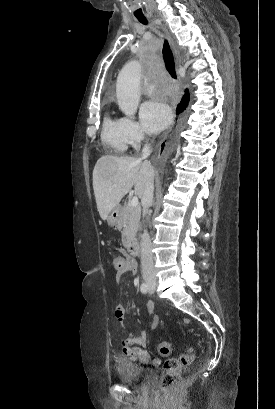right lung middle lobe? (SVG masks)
I'll return each mask as SVG.
<instances>
[{
  "label": "right lung middle lobe",
  "instance_id": "right-lung-middle-lobe-1",
  "mask_svg": "<svg viewBox=\"0 0 275 409\" xmlns=\"http://www.w3.org/2000/svg\"><path fill=\"white\" fill-rule=\"evenodd\" d=\"M188 102H189V100H187L186 102H184V103L178 105V107H177V114H179L180 112H182V111L187 107ZM179 141H180V131H179V129H177V130L172 134V136L170 137V139H169V141H168V143H167V145H166V148H165V153L174 152V151L177 149V147H178ZM164 146H165V143H163V144L161 145V147H162L161 152L163 151ZM161 165L164 167L166 164H165L164 162L161 164V161H160V160H152V161L150 162V167H151L152 169H160V168H161Z\"/></svg>",
  "mask_w": 275,
  "mask_h": 409
}]
</instances>
